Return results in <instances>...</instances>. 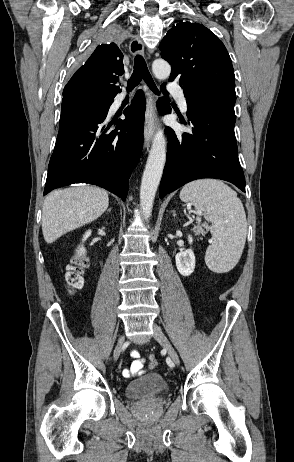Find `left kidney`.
Wrapping results in <instances>:
<instances>
[{"mask_svg": "<svg viewBox=\"0 0 294 462\" xmlns=\"http://www.w3.org/2000/svg\"><path fill=\"white\" fill-rule=\"evenodd\" d=\"M188 241L190 244L193 242L190 235L188 236ZM175 260L177 269L182 276H189L193 273L195 269V255L191 248L177 253Z\"/></svg>", "mask_w": 294, "mask_h": 462, "instance_id": "5707ae66", "label": "left kidney"}]
</instances>
